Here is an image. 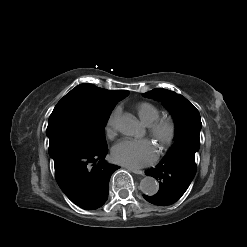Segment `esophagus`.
<instances>
[{
	"mask_svg": "<svg viewBox=\"0 0 247 247\" xmlns=\"http://www.w3.org/2000/svg\"><path fill=\"white\" fill-rule=\"evenodd\" d=\"M128 170L135 173V174L144 175V172L142 170H139V169L128 168Z\"/></svg>",
	"mask_w": 247,
	"mask_h": 247,
	"instance_id": "obj_1",
	"label": "esophagus"
}]
</instances>
